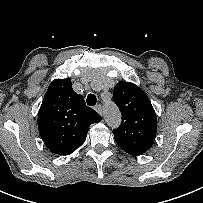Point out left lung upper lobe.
Here are the masks:
<instances>
[{"label":"left lung upper lobe","mask_w":203,"mask_h":203,"mask_svg":"<svg viewBox=\"0 0 203 203\" xmlns=\"http://www.w3.org/2000/svg\"><path fill=\"white\" fill-rule=\"evenodd\" d=\"M114 101L122 114L114 130L116 143L130 155L146 152L155 141L157 116L144 91L133 83L121 81L114 88Z\"/></svg>","instance_id":"left-lung-upper-lobe-1"}]
</instances>
